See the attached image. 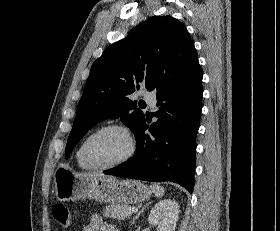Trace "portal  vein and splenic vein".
<instances>
[{"label":"portal vein and splenic vein","mask_w":280,"mask_h":231,"mask_svg":"<svg viewBox=\"0 0 280 231\" xmlns=\"http://www.w3.org/2000/svg\"><path fill=\"white\" fill-rule=\"evenodd\" d=\"M129 211H137L136 207H129Z\"/></svg>","instance_id":"1"}]
</instances>
